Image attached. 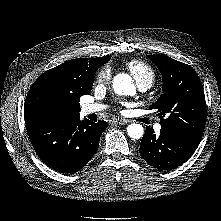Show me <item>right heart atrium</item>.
<instances>
[{
  "instance_id": "d8ad5b80",
  "label": "right heart atrium",
  "mask_w": 221,
  "mask_h": 221,
  "mask_svg": "<svg viewBox=\"0 0 221 221\" xmlns=\"http://www.w3.org/2000/svg\"><path fill=\"white\" fill-rule=\"evenodd\" d=\"M111 79V70L108 66L101 68L95 77V84L97 86H106L109 84Z\"/></svg>"
}]
</instances>
